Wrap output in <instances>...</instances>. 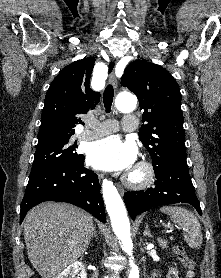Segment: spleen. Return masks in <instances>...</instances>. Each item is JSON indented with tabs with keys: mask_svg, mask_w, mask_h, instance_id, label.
Listing matches in <instances>:
<instances>
[{
	"mask_svg": "<svg viewBox=\"0 0 221 278\" xmlns=\"http://www.w3.org/2000/svg\"><path fill=\"white\" fill-rule=\"evenodd\" d=\"M160 211L169 215L172 221L180 226L184 233V240L190 248H201L203 241L201 226L192 212L177 206H163Z\"/></svg>",
	"mask_w": 221,
	"mask_h": 278,
	"instance_id": "spleen-1",
	"label": "spleen"
}]
</instances>
